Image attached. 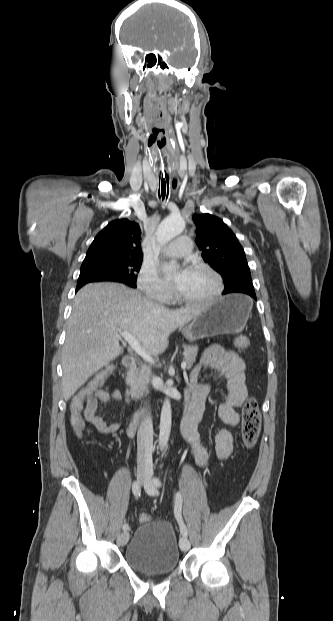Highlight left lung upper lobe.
I'll return each instance as SVG.
<instances>
[{
	"mask_svg": "<svg viewBox=\"0 0 333 621\" xmlns=\"http://www.w3.org/2000/svg\"><path fill=\"white\" fill-rule=\"evenodd\" d=\"M196 243L204 261L223 278V294L254 292L245 252L231 229L218 217L194 214Z\"/></svg>",
	"mask_w": 333,
	"mask_h": 621,
	"instance_id": "5c2ea615",
	"label": "left lung upper lobe"
}]
</instances>
